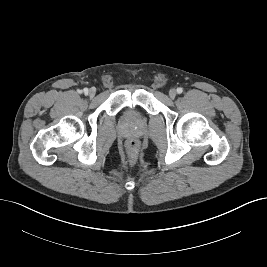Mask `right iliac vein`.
<instances>
[{"instance_id":"right-iliac-vein-1","label":"right iliac vein","mask_w":267,"mask_h":267,"mask_svg":"<svg viewBox=\"0 0 267 267\" xmlns=\"http://www.w3.org/2000/svg\"><path fill=\"white\" fill-rule=\"evenodd\" d=\"M88 94H89L90 97H93V96H95V94H96V90H95L94 88H91V89L89 90Z\"/></svg>"}]
</instances>
